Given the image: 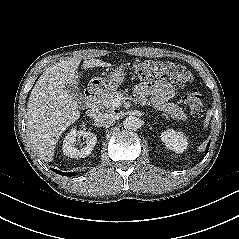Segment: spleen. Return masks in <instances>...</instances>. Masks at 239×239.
Here are the masks:
<instances>
[{"mask_svg":"<svg viewBox=\"0 0 239 239\" xmlns=\"http://www.w3.org/2000/svg\"><path fill=\"white\" fill-rule=\"evenodd\" d=\"M211 115H212V111L209 110V111L207 112V116H206V118H205V120H204V127H205V128H206V127L208 126V124H209V121H210V119H211Z\"/></svg>","mask_w":239,"mask_h":239,"instance_id":"1","label":"spleen"}]
</instances>
